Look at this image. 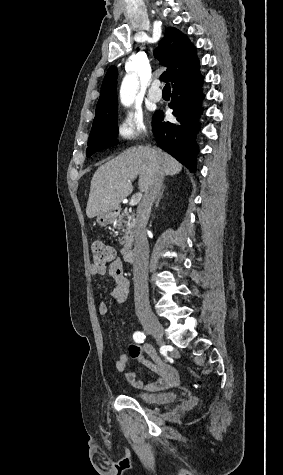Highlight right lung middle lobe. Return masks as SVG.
<instances>
[{
  "mask_svg": "<svg viewBox=\"0 0 283 475\" xmlns=\"http://www.w3.org/2000/svg\"><path fill=\"white\" fill-rule=\"evenodd\" d=\"M117 134V105L97 107L88 139L87 157L97 151L114 146Z\"/></svg>",
  "mask_w": 283,
  "mask_h": 475,
  "instance_id": "obj_1",
  "label": "right lung middle lobe"
}]
</instances>
